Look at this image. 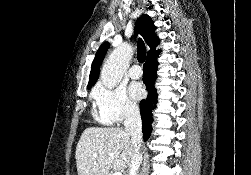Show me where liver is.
Returning a JSON list of instances; mask_svg holds the SVG:
<instances>
[{
	"instance_id": "liver-1",
	"label": "liver",
	"mask_w": 251,
	"mask_h": 175,
	"mask_svg": "<svg viewBox=\"0 0 251 175\" xmlns=\"http://www.w3.org/2000/svg\"><path fill=\"white\" fill-rule=\"evenodd\" d=\"M133 143L122 127H86L76 147L78 175H105L131 165Z\"/></svg>"
}]
</instances>
